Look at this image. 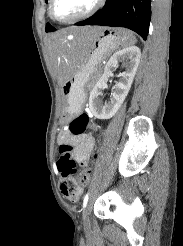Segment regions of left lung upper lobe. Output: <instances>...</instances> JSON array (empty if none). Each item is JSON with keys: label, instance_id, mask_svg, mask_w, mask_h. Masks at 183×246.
Listing matches in <instances>:
<instances>
[{"label": "left lung upper lobe", "instance_id": "5c2ea615", "mask_svg": "<svg viewBox=\"0 0 183 246\" xmlns=\"http://www.w3.org/2000/svg\"><path fill=\"white\" fill-rule=\"evenodd\" d=\"M48 0H45V2L47 3ZM50 31H55L54 27H52L50 24L46 25V32H50Z\"/></svg>", "mask_w": 183, "mask_h": 246}]
</instances>
